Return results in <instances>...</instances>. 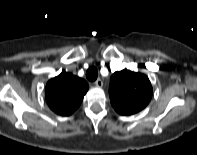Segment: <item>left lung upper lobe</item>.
Returning a JSON list of instances; mask_svg holds the SVG:
<instances>
[{
  "mask_svg": "<svg viewBox=\"0 0 197 155\" xmlns=\"http://www.w3.org/2000/svg\"><path fill=\"white\" fill-rule=\"evenodd\" d=\"M152 93L151 83L144 74L124 69L110 78V101L121 115H132L144 109Z\"/></svg>",
  "mask_w": 197,
  "mask_h": 155,
  "instance_id": "obj_1",
  "label": "left lung upper lobe"
}]
</instances>
